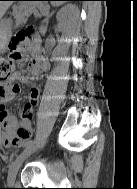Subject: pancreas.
I'll return each instance as SVG.
<instances>
[{"instance_id":"1","label":"pancreas","mask_w":137,"mask_h":189,"mask_svg":"<svg viewBox=\"0 0 137 189\" xmlns=\"http://www.w3.org/2000/svg\"><path fill=\"white\" fill-rule=\"evenodd\" d=\"M14 14H15V19H16V23L17 25L20 24L21 22L24 21L25 17L27 16L28 12L30 11V9L24 7H14Z\"/></svg>"}]
</instances>
